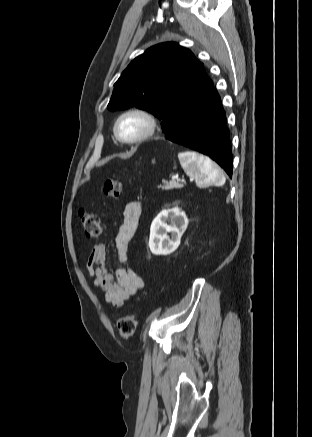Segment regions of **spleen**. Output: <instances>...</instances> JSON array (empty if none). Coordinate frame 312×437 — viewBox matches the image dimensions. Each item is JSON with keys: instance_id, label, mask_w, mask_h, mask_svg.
Returning a JSON list of instances; mask_svg holds the SVG:
<instances>
[{"instance_id": "obj_1", "label": "spleen", "mask_w": 312, "mask_h": 437, "mask_svg": "<svg viewBox=\"0 0 312 437\" xmlns=\"http://www.w3.org/2000/svg\"><path fill=\"white\" fill-rule=\"evenodd\" d=\"M180 164L186 174L197 184L207 186H222L226 179L221 168L209 157L193 151L178 154Z\"/></svg>"}]
</instances>
